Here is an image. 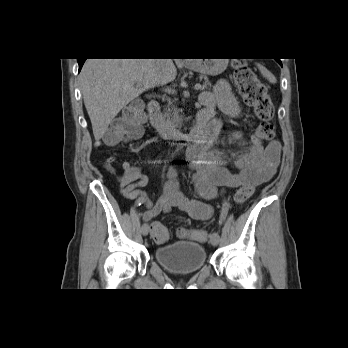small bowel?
<instances>
[{
	"mask_svg": "<svg viewBox=\"0 0 348 348\" xmlns=\"http://www.w3.org/2000/svg\"><path fill=\"white\" fill-rule=\"evenodd\" d=\"M200 101L203 107L213 109L217 104L228 116L240 115L238 102L226 80H219L213 93L202 92ZM210 128L214 136H217L224 130L223 121L219 118L213 119ZM230 138L235 142L245 141L243 135L238 132L230 133ZM280 152L281 145L277 140L271 141L266 147L252 145L232 159L219 150L191 147L189 158L194 171V185L204 200H210L223 188L256 186L267 182L276 173ZM231 166L236 168L237 172H231ZM105 168L116 176L120 193L124 198L134 200L136 207L146 208L143 213L145 221L152 220L161 212L167 213L172 208H177L197 220H207L212 215V209L205 201L184 197L178 189L175 172L170 173L163 195L152 204L146 192L142 190L148 184V178L142 174L138 166L124 161L120 170L113 168L109 163H106Z\"/></svg>",
	"mask_w": 348,
	"mask_h": 348,
	"instance_id": "1",
	"label": "small bowel"
}]
</instances>
